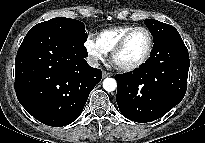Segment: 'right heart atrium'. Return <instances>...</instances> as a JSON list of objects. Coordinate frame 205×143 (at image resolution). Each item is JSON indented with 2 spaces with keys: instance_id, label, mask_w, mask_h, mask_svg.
<instances>
[{
  "instance_id": "d8ad5b80",
  "label": "right heart atrium",
  "mask_w": 205,
  "mask_h": 143,
  "mask_svg": "<svg viewBox=\"0 0 205 143\" xmlns=\"http://www.w3.org/2000/svg\"><path fill=\"white\" fill-rule=\"evenodd\" d=\"M85 49L94 62H98L104 59L106 53L97 43L96 39L88 36L84 42Z\"/></svg>"
}]
</instances>
